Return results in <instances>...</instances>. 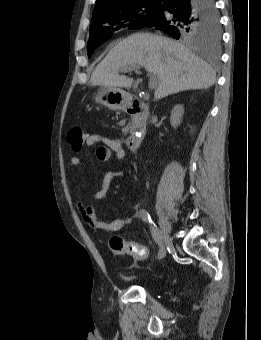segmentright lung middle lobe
<instances>
[{
	"label": "right lung middle lobe",
	"mask_w": 261,
	"mask_h": 340,
	"mask_svg": "<svg viewBox=\"0 0 261 340\" xmlns=\"http://www.w3.org/2000/svg\"><path fill=\"white\" fill-rule=\"evenodd\" d=\"M163 0L139 1L120 7L98 20L91 21L90 35L87 43L88 57L94 50L114 35L120 28L141 29L149 24L160 11ZM178 38L188 41L210 39L219 41L221 28L218 13L200 16L195 13L179 26Z\"/></svg>",
	"instance_id": "right-lung-middle-lobe-1"
}]
</instances>
